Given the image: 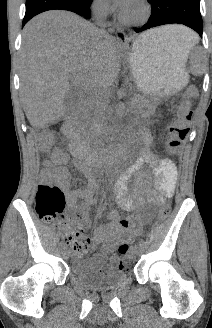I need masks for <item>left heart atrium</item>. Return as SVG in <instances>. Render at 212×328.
<instances>
[{
	"label": "left heart atrium",
	"instance_id": "obj_1",
	"mask_svg": "<svg viewBox=\"0 0 212 328\" xmlns=\"http://www.w3.org/2000/svg\"><path fill=\"white\" fill-rule=\"evenodd\" d=\"M115 4L123 11H127L134 3L135 0H113Z\"/></svg>",
	"mask_w": 212,
	"mask_h": 328
}]
</instances>
